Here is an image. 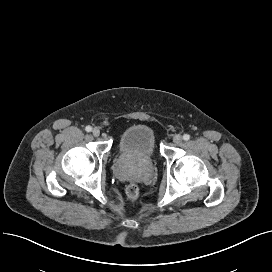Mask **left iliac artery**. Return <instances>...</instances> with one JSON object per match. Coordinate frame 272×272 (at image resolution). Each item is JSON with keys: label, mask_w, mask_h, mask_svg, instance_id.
<instances>
[{"label": "left iliac artery", "mask_w": 272, "mask_h": 272, "mask_svg": "<svg viewBox=\"0 0 272 272\" xmlns=\"http://www.w3.org/2000/svg\"><path fill=\"white\" fill-rule=\"evenodd\" d=\"M183 139L186 140V141L189 140L190 139V135L189 134H184L183 135Z\"/></svg>", "instance_id": "obj_1"}]
</instances>
